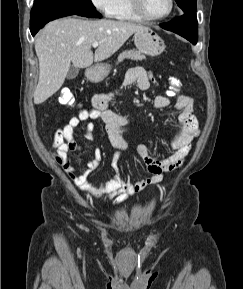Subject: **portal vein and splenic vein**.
Masks as SVG:
<instances>
[{
    "instance_id": "18ae733b",
    "label": "portal vein and splenic vein",
    "mask_w": 243,
    "mask_h": 289,
    "mask_svg": "<svg viewBox=\"0 0 243 289\" xmlns=\"http://www.w3.org/2000/svg\"><path fill=\"white\" fill-rule=\"evenodd\" d=\"M99 44H100V43L96 41V42H93V43H92V46H93L94 48H96V47L99 46Z\"/></svg>"
}]
</instances>
